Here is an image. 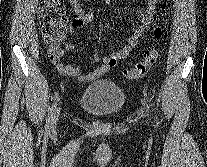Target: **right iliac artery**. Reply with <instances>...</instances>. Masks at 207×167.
Here are the masks:
<instances>
[{"instance_id": "right-iliac-artery-1", "label": "right iliac artery", "mask_w": 207, "mask_h": 167, "mask_svg": "<svg viewBox=\"0 0 207 167\" xmlns=\"http://www.w3.org/2000/svg\"><path fill=\"white\" fill-rule=\"evenodd\" d=\"M54 100H55V102L53 103L52 107L50 108V110L48 112L46 127H45L46 131H49V129L51 127V122H52V119H53L54 111L56 109L58 97H56Z\"/></svg>"}]
</instances>
